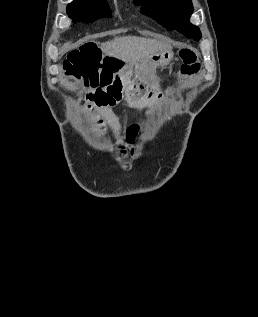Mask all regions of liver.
Masks as SVG:
<instances>
[{
  "mask_svg": "<svg viewBox=\"0 0 258 317\" xmlns=\"http://www.w3.org/2000/svg\"><path fill=\"white\" fill-rule=\"evenodd\" d=\"M102 52L124 62H144L148 64L152 54L159 50H172L170 40L143 38V36H115L107 42H97Z\"/></svg>",
  "mask_w": 258,
  "mask_h": 317,
  "instance_id": "obj_1",
  "label": "liver"
}]
</instances>
